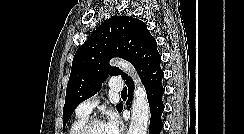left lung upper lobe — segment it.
Segmentation results:
<instances>
[{
	"mask_svg": "<svg viewBox=\"0 0 244 134\" xmlns=\"http://www.w3.org/2000/svg\"><path fill=\"white\" fill-rule=\"evenodd\" d=\"M113 57L130 61L144 86L152 77L164 75L156 40L146 24L130 16L110 18L75 53L66 89L63 127L75 108L94 95L108 75H121L127 86L133 87L132 79L127 74L108 64ZM116 107L120 111L122 105Z\"/></svg>",
	"mask_w": 244,
	"mask_h": 134,
	"instance_id": "obj_1",
	"label": "left lung upper lobe"
}]
</instances>
